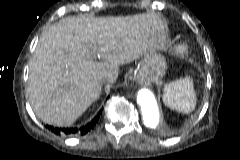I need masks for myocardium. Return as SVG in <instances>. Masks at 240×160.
Here are the masks:
<instances>
[{"instance_id":"1","label":"myocardium","mask_w":240,"mask_h":160,"mask_svg":"<svg viewBox=\"0 0 240 160\" xmlns=\"http://www.w3.org/2000/svg\"><path fill=\"white\" fill-rule=\"evenodd\" d=\"M188 51H189V47L184 43H180L176 46V53L179 56H184L186 53H188Z\"/></svg>"}]
</instances>
